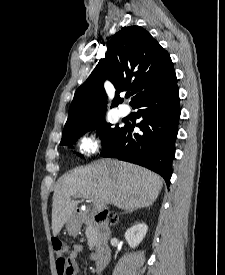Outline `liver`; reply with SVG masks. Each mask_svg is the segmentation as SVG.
Returning <instances> with one entry per match:
<instances>
[{
    "mask_svg": "<svg viewBox=\"0 0 225 275\" xmlns=\"http://www.w3.org/2000/svg\"><path fill=\"white\" fill-rule=\"evenodd\" d=\"M163 186L162 178L154 172L131 163L100 159L62 176L54 190L52 231L57 236L73 216L80 200L93 197L103 205L120 209H138L152 205Z\"/></svg>",
    "mask_w": 225,
    "mask_h": 275,
    "instance_id": "6515ba94",
    "label": "liver"
}]
</instances>
